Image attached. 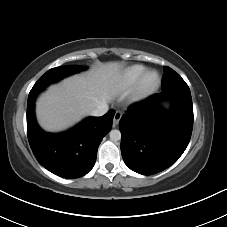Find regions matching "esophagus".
I'll return each instance as SVG.
<instances>
[{
	"label": "esophagus",
	"instance_id": "1",
	"mask_svg": "<svg viewBox=\"0 0 227 227\" xmlns=\"http://www.w3.org/2000/svg\"><path fill=\"white\" fill-rule=\"evenodd\" d=\"M121 117H122V113L120 111H116L115 115H114V119H113V126L114 127L118 125Z\"/></svg>",
	"mask_w": 227,
	"mask_h": 227
}]
</instances>
